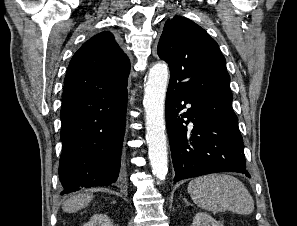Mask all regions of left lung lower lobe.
<instances>
[{"label": "left lung lower lobe", "mask_w": 297, "mask_h": 226, "mask_svg": "<svg viewBox=\"0 0 297 226\" xmlns=\"http://www.w3.org/2000/svg\"><path fill=\"white\" fill-rule=\"evenodd\" d=\"M232 100V95L189 89L170 78L165 117L174 181L216 172H238L250 178ZM186 104L191 107L181 113ZM190 121L193 127H188Z\"/></svg>", "instance_id": "1"}]
</instances>
